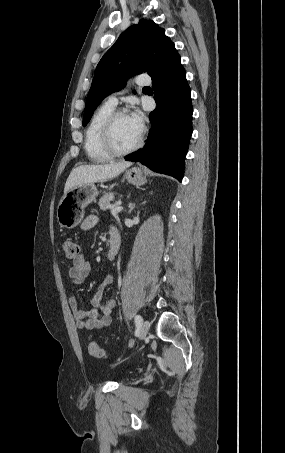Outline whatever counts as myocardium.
Here are the masks:
<instances>
[{
  "mask_svg": "<svg viewBox=\"0 0 285 453\" xmlns=\"http://www.w3.org/2000/svg\"><path fill=\"white\" fill-rule=\"evenodd\" d=\"M129 115L125 109H117L114 110L105 120L102 129H101V144L104 150L110 155L114 157L125 156L130 154L137 149H139L144 141V130H141L140 136L137 142L126 148V149H119L114 142L113 131L114 126L117 119L121 116Z\"/></svg>",
  "mask_w": 285,
  "mask_h": 453,
  "instance_id": "f54148a6",
  "label": "myocardium"
}]
</instances>
